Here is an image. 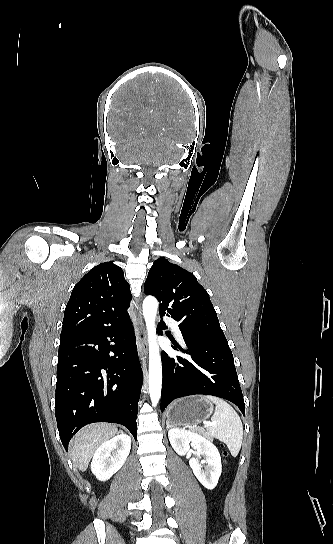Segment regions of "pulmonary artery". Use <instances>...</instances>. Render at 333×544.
<instances>
[{
	"label": "pulmonary artery",
	"instance_id": "1",
	"mask_svg": "<svg viewBox=\"0 0 333 544\" xmlns=\"http://www.w3.org/2000/svg\"><path fill=\"white\" fill-rule=\"evenodd\" d=\"M165 320L172 326V328L174 330V333L177 336V338L182 340V334H181V331L179 329L178 322L176 320L172 319V318H169V317H166Z\"/></svg>",
	"mask_w": 333,
	"mask_h": 544
}]
</instances>
